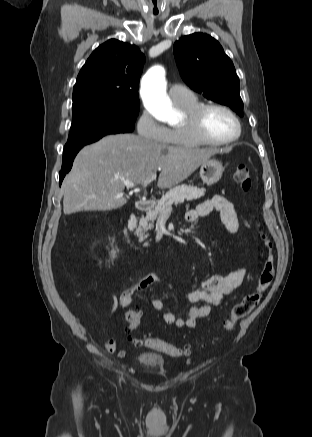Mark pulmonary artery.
Here are the masks:
<instances>
[{"instance_id": "obj_1", "label": "pulmonary artery", "mask_w": 312, "mask_h": 437, "mask_svg": "<svg viewBox=\"0 0 312 437\" xmlns=\"http://www.w3.org/2000/svg\"><path fill=\"white\" fill-rule=\"evenodd\" d=\"M169 97L174 103H179L186 101L192 96V93L190 90H188L186 87L174 84L169 88Z\"/></svg>"}]
</instances>
